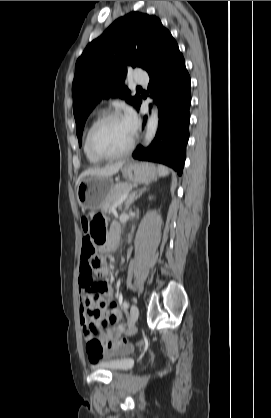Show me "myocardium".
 <instances>
[{"label":"myocardium","instance_id":"1","mask_svg":"<svg viewBox=\"0 0 271 418\" xmlns=\"http://www.w3.org/2000/svg\"><path fill=\"white\" fill-rule=\"evenodd\" d=\"M115 118H122V115L119 112L110 111L102 114L99 118H97L94 123L91 125L88 133H87V146L89 151L97 158L101 160H109V159H117L128 155L134 148L135 145V135L132 136L131 141L129 142L128 146L117 153H103L99 151L93 143V136L96 129L105 121L109 119Z\"/></svg>","mask_w":271,"mask_h":418}]
</instances>
